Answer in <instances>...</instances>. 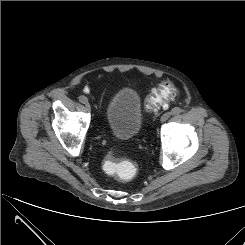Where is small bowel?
Returning <instances> with one entry per match:
<instances>
[{"label": "small bowel", "mask_w": 245, "mask_h": 245, "mask_svg": "<svg viewBox=\"0 0 245 245\" xmlns=\"http://www.w3.org/2000/svg\"><path fill=\"white\" fill-rule=\"evenodd\" d=\"M88 91H89V89H88V87H86V88H85V92H88Z\"/></svg>", "instance_id": "1"}]
</instances>
